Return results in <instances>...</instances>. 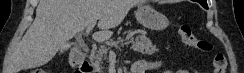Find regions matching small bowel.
I'll use <instances>...</instances> for the list:
<instances>
[{
  "label": "small bowel",
  "instance_id": "c3829d8e",
  "mask_svg": "<svg viewBox=\"0 0 244 73\" xmlns=\"http://www.w3.org/2000/svg\"><path fill=\"white\" fill-rule=\"evenodd\" d=\"M160 66L159 62H148L144 60H139L135 62L132 66V73H147L152 70L157 69ZM164 73H172L171 71H164ZM177 73H189L186 70H179Z\"/></svg>",
  "mask_w": 244,
  "mask_h": 73
}]
</instances>
